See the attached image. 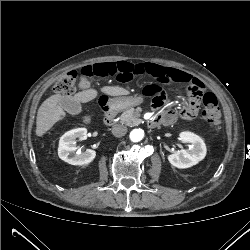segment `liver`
I'll return each mask as SVG.
<instances>
[{
    "mask_svg": "<svg viewBox=\"0 0 250 250\" xmlns=\"http://www.w3.org/2000/svg\"><path fill=\"white\" fill-rule=\"evenodd\" d=\"M101 92L109 96H122L128 95L130 92L125 88L119 86H104L101 88ZM97 91L95 89H87L76 93L74 96H62L59 94L52 95L47 98L39 107L36 118V135L38 137L43 136L48 130H50L54 124L63 120L66 113L63 107L60 105L62 98H70L79 103H87L97 97Z\"/></svg>",
    "mask_w": 250,
    "mask_h": 250,
    "instance_id": "6515ba94",
    "label": "liver"
}]
</instances>
